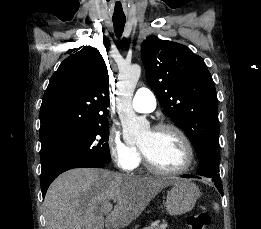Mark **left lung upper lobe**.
<instances>
[{
	"label": "left lung upper lobe",
	"instance_id": "left-lung-upper-lobe-1",
	"mask_svg": "<svg viewBox=\"0 0 261 229\" xmlns=\"http://www.w3.org/2000/svg\"><path fill=\"white\" fill-rule=\"evenodd\" d=\"M146 80L169 118L184 130L201 160L219 146L215 86L203 59L188 47L148 37L141 47Z\"/></svg>",
	"mask_w": 261,
	"mask_h": 229
}]
</instances>
